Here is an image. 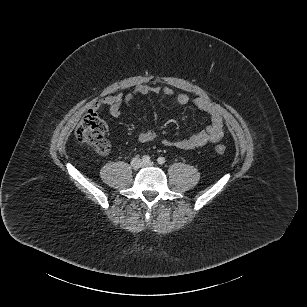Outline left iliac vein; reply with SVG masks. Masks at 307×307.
Listing matches in <instances>:
<instances>
[{
    "instance_id": "4c4485c4",
    "label": "left iliac vein",
    "mask_w": 307,
    "mask_h": 307,
    "mask_svg": "<svg viewBox=\"0 0 307 307\" xmlns=\"http://www.w3.org/2000/svg\"><path fill=\"white\" fill-rule=\"evenodd\" d=\"M153 162H148V163H143V166L148 167V166H153Z\"/></svg>"
}]
</instances>
